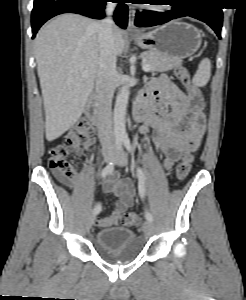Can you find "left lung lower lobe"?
<instances>
[{
	"instance_id": "1",
	"label": "left lung lower lobe",
	"mask_w": 246,
	"mask_h": 300,
	"mask_svg": "<svg viewBox=\"0 0 246 300\" xmlns=\"http://www.w3.org/2000/svg\"><path fill=\"white\" fill-rule=\"evenodd\" d=\"M168 12H140L136 15L135 25L138 27L155 26L172 19L190 16L207 23L221 38L223 22L222 8L218 0H176Z\"/></svg>"
}]
</instances>
